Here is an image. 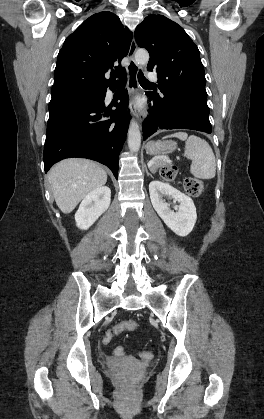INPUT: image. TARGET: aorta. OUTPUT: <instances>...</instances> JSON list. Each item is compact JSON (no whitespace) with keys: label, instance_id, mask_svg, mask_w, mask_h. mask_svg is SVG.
Here are the masks:
<instances>
[{"label":"aorta","instance_id":"aorta-1","mask_svg":"<svg viewBox=\"0 0 264 419\" xmlns=\"http://www.w3.org/2000/svg\"><path fill=\"white\" fill-rule=\"evenodd\" d=\"M149 61V53L146 50L139 49L135 53V63L137 65H146ZM128 146L131 152H137L141 146V133L138 123L133 119L130 122L128 130Z\"/></svg>","mask_w":264,"mask_h":419}]
</instances>
